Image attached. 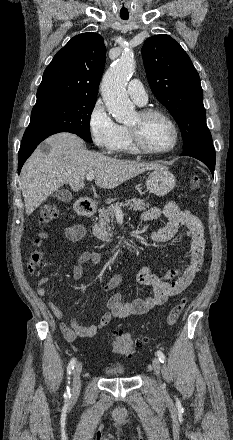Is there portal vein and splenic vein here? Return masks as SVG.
Listing matches in <instances>:
<instances>
[{"instance_id": "18ae733b", "label": "portal vein and splenic vein", "mask_w": 233, "mask_h": 440, "mask_svg": "<svg viewBox=\"0 0 233 440\" xmlns=\"http://www.w3.org/2000/svg\"><path fill=\"white\" fill-rule=\"evenodd\" d=\"M86 177H87V180H88V181H92V180L94 179V175H87ZM116 214H117V215H121V214H122V210H121V208H117V209H116Z\"/></svg>"}]
</instances>
